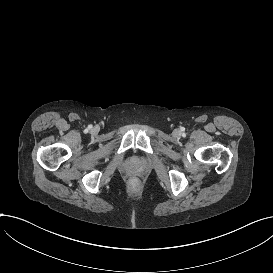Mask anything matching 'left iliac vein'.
Segmentation results:
<instances>
[{
    "instance_id": "left-iliac-vein-1",
    "label": "left iliac vein",
    "mask_w": 273,
    "mask_h": 273,
    "mask_svg": "<svg viewBox=\"0 0 273 273\" xmlns=\"http://www.w3.org/2000/svg\"><path fill=\"white\" fill-rule=\"evenodd\" d=\"M173 135H174L175 137H180V135H181L180 130H179V129H175V130L173 131Z\"/></svg>"
}]
</instances>
